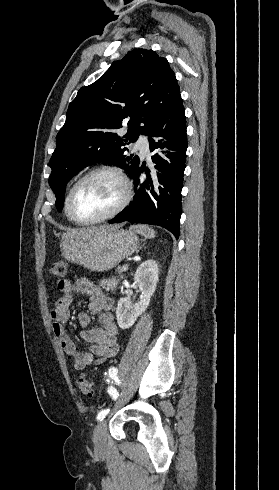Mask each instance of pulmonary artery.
I'll return each mask as SVG.
<instances>
[{
	"mask_svg": "<svg viewBox=\"0 0 279 490\" xmlns=\"http://www.w3.org/2000/svg\"><path fill=\"white\" fill-rule=\"evenodd\" d=\"M135 147L140 149L143 154L147 155L149 153V145L146 141L138 140Z\"/></svg>",
	"mask_w": 279,
	"mask_h": 490,
	"instance_id": "pulmonary-artery-1",
	"label": "pulmonary artery"
}]
</instances>
